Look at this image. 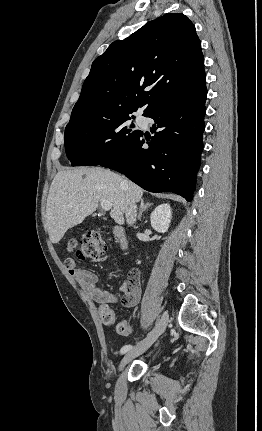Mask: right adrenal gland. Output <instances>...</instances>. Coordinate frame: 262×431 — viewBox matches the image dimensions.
<instances>
[{
	"label": "right adrenal gland",
	"mask_w": 262,
	"mask_h": 431,
	"mask_svg": "<svg viewBox=\"0 0 262 431\" xmlns=\"http://www.w3.org/2000/svg\"><path fill=\"white\" fill-rule=\"evenodd\" d=\"M150 206H152V203H150V202L144 203V200H143V199H141L140 209H139V212H138V215H137V219H138V220H141L142 213H143L147 208H149Z\"/></svg>",
	"instance_id": "1"
}]
</instances>
